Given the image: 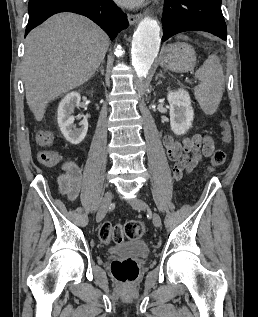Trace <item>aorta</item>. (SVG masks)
<instances>
[{
	"label": "aorta",
	"mask_w": 258,
	"mask_h": 317,
	"mask_svg": "<svg viewBox=\"0 0 258 317\" xmlns=\"http://www.w3.org/2000/svg\"><path fill=\"white\" fill-rule=\"evenodd\" d=\"M160 27L156 20L144 18L133 35L132 66L139 79L145 78L160 48Z\"/></svg>",
	"instance_id": "762f6f07"
}]
</instances>
